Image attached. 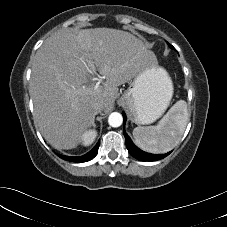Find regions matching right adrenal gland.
Here are the masks:
<instances>
[{
    "label": "right adrenal gland",
    "mask_w": 227,
    "mask_h": 227,
    "mask_svg": "<svg viewBox=\"0 0 227 227\" xmlns=\"http://www.w3.org/2000/svg\"><path fill=\"white\" fill-rule=\"evenodd\" d=\"M98 113H100V112H95V113H94L93 121H92L93 128L96 127V125H95V116H96Z\"/></svg>",
    "instance_id": "obj_1"
}]
</instances>
